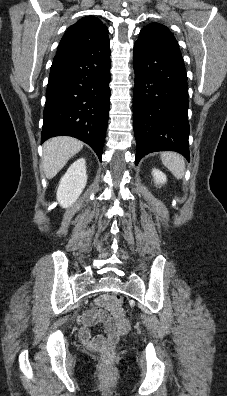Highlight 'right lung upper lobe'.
I'll list each match as a JSON object with an SVG mask.
<instances>
[{
  "instance_id": "cb5924a9",
  "label": "right lung upper lobe",
  "mask_w": 227,
  "mask_h": 396,
  "mask_svg": "<svg viewBox=\"0 0 227 396\" xmlns=\"http://www.w3.org/2000/svg\"><path fill=\"white\" fill-rule=\"evenodd\" d=\"M108 41V29L101 20L94 16L84 17L66 30L56 55L80 52Z\"/></svg>"
}]
</instances>
